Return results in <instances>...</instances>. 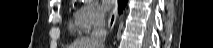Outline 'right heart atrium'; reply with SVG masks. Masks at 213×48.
Listing matches in <instances>:
<instances>
[{
  "instance_id": "1",
  "label": "right heart atrium",
  "mask_w": 213,
  "mask_h": 48,
  "mask_svg": "<svg viewBox=\"0 0 213 48\" xmlns=\"http://www.w3.org/2000/svg\"><path fill=\"white\" fill-rule=\"evenodd\" d=\"M74 17L77 29L83 34L89 33L104 20L103 13L93 2H86L78 6Z\"/></svg>"
}]
</instances>
